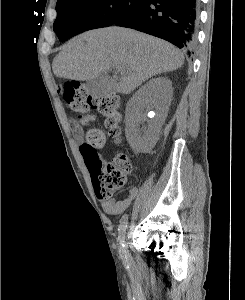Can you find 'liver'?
I'll return each instance as SVG.
<instances>
[{
	"label": "liver",
	"instance_id": "liver-1",
	"mask_svg": "<svg viewBox=\"0 0 245 300\" xmlns=\"http://www.w3.org/2000/svg\"><path fill=\"white\" fill-rule=\"evenodd\" d=\"M184 55L159 38L121 27L87 31L70 40L53 60L56 77L89 81L118 67L115 91L130 94L149 78L177 70Z\"/></svg>",
	"mask_w": 245,
	"mask_h": 300
}]
</instances>
